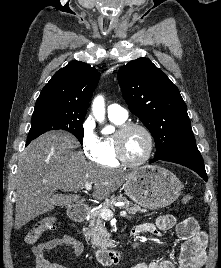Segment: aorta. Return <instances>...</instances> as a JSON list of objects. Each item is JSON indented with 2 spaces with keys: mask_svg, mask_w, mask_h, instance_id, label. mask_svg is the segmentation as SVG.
<instances>
[{
  "mask_svg": "<svg viewBox=\"0 0 221 268\" xmlns=\"http://www.w3.org/2000/svg\"><path fill=\"white\" fill-rule=\"evenodd\" d=\"M92 112L99 123H103L105 120V102L103 96H97L92 103ZM105 132L110 133L113 131V127L106 126Z\"/></svg>",
  "mask_w": 221,
  "mask_h": 268,
  "instance_id": "1",
  "label": "aorta"
}]
</instances>
